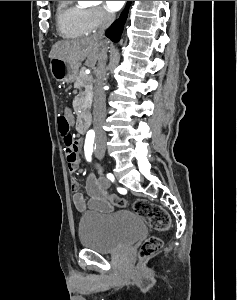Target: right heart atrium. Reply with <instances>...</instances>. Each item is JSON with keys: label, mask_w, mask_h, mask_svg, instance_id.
<instances>
[{"label": "right heart atrium", "mask_w": 237, "mask_h": 300, "mask_svg": "<svg viewBox=\"0 0 237 300\" xmlns=\"http://www.w3.org/2000/svg\"><path fill=\"white\" fill-rule=\"evenodd\" d=\"M113 17L103 7L92 6L83 10V31L91 33L111 23Z\"/></svg>", "instance_id": "d8ad5b80"}]
</instances>
